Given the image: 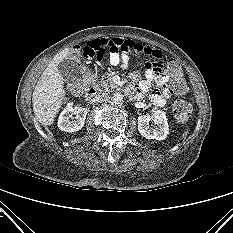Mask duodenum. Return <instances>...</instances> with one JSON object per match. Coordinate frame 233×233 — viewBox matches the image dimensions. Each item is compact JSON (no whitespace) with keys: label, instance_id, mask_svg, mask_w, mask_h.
<instances>
[{"label":"duodenum","instance_id":"obj_1","mask_svg":"<svg viewBox=\"0 0 233 233\" xmlns=\"http://www.w3.org/2000/svg\"><path fill=\"white\" fill-rule=\"evenodd\" d=\"M128 93L130 95H132V92L131 91H128ZM97 94V90L95 87H89V88H86L84 91H83V96L85 99L87 100H90L92 98H94Z\"/></svg>","mask_w":233,"mask_h":233}]
</instances>
